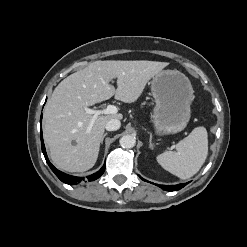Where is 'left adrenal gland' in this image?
I'll return each mask as SVG.
<instances>
[{
	"instance_id": "obj_1",
	"label": "left adrenal gland",
	"mask_w": 247,
	"mask_h": 247,
	"mask_svg": "<svg viewBox=\"0 0 247 247\" xmlns=\"http://www.w3.org/2000/svg\"><path fill=\"white\" fill-rule=\"evenodd\" d=\"M148 133H149V135H150V138H149V147H150L151 149H153L154 143H152V133L149 132V131H148Z\"/></svg>"
}]
</instances>
